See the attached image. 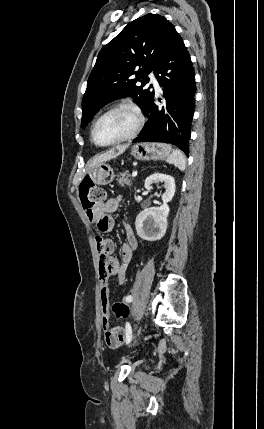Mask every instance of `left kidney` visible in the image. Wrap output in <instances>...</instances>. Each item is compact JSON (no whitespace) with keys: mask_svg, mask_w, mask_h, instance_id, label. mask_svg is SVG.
I'll return each instance as SVG.
<instances>
[{"mask_svg":"<svg viewBox=\"0 0 264 429\" xmlns=\"http://www.w3.org/2000/svg\"><path fill=\"white\" fill-rule=\"evenodd\" d=\"M154 182H164L165 184L166 191L162 195L163 205L144 209L138 214L135 221L137 235L147 241H156L164 236L170 211L168 202L175 194V181L172 176L154 173L146 178L145 188L149 190Z\"/></svg>","mask_w":264,"mask_h":429,"instance_id":"1","label":"left kidney"}]
</instances>
